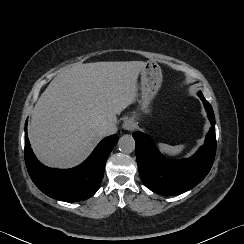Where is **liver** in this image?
I'll return each mask as SVG.
<instances>
[{
	"instance_id": "obj_1",
	"label": "liver",
	"mask_w": 244,
	"mask_h": 244,
	"mask_svg": "<svg viewBox=\"0 0 244 244\" xmlns=\"http://www.w3.org/2000/svg\"><path fill=\"white\" fill-rule=\"evenodd\" d=\"M144 66L95 62L62 69L32 111L28 137L37 158L59 169L81 164L104 137L101 125L134 102Z\"/></svg>"
}]
</instances>
